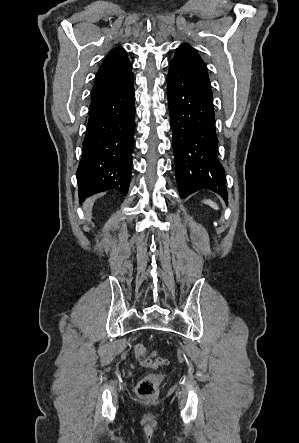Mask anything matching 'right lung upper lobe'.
Wrapping results in <instances>:
<instances>
[{
  "mask_svg": "<svg viewBox=\"0 0 299 443\" xmlns=\"http://www.w3.org/2000/svg\"><path fill=\"white\" fill-rule=\"evenodd\" d=\"M132 66L122 47L113 49L100 66L92 91V99L112 88L131 74Z\"/></svg>",
  "mask_w": 299,
  "mask_h": 443,
  "instance_id": "1",
  "label": "right lung upper lobe"
}]
</instances>
